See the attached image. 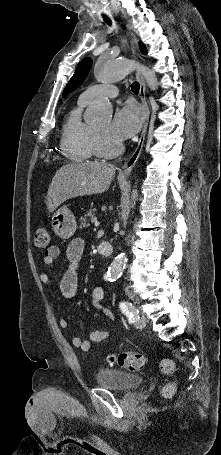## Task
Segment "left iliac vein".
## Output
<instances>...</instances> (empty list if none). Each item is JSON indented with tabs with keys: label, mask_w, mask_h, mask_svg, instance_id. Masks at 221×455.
I'll use <instances>...</instances> for the list:
<instances>
[{
	"label": "left iliac vein",
	"mask_w": 221,
	"mask_h": 455,
	"mask_svg": "<svg viewBox=\"0 0 221 455\" xmlns=\"http://www.w3.org/2000/svg\"><path fill=\"white\" fill-rule=\"evenodd\" d=\"M145 325H146V318H145V316H140V317L136 320V322H135V326H136L137 328H139V329L144 328Z\"/></svg>",
	"instance_id": "obj_1"
}]
</instances>
